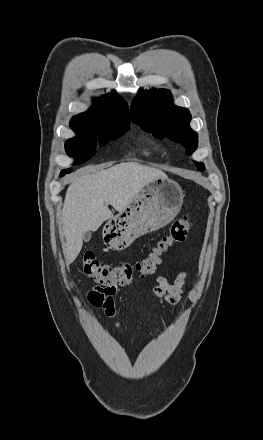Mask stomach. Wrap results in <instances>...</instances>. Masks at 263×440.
Instances as JSON below:
<instances>
[{
  "label": "stomach",
  "mask_w": 263,
  "mask_h": 440,
  "mask_svg": "<svg viewBox=\"0 0 263 440\" xmlns=\"http://www.w3.org/2000/svg\"><path fill=\"white\" fill-rule=\"evenodd\" d=\"M184 192L174 180L158 178L146 184L119 214L109 219L103 238L123 250L138 237L168 225L179 213Z\"/></svg>",
  "instance_id": "obj_1"
}]
</instances>
